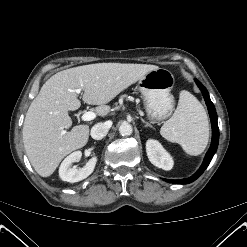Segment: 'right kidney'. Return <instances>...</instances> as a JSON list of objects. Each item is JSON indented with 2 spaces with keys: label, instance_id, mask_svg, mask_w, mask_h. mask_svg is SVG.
I'll use <instances>...</instances> for the list:
<instances>
[{
  "label": "right kidney",
  "instance_id": "right-kidney-1",
  "mask_svg": "<svg viewBox=\"0 0 247 247\" xmlns=\"http://www.w3.org/2000/svg\"><path fill=\"white\" fill-rule=\"evenodd\" d=\"M82 157L81 151H75L67 156L59 167V176L66 182H79L87 178L93 171L97 162V157L91 158L84 167H71L74 162L80 161Z\"/></svg>",
  "mask_w": 247,
  "mask_h": 247
}]
</instances>
